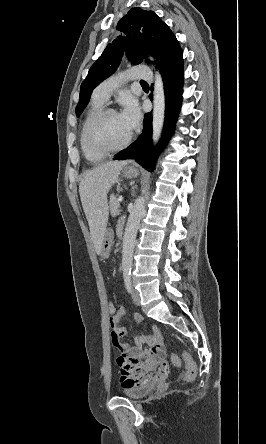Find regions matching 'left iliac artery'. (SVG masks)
<instances>
[{"label":"left iliac artery","mask_w":266,"mask_h":444,"mask_svg":"<svg viewBox=\"0 0 266 444\" xmlns=\"http://www.w3.org/2000/svg\"><path fill=\"white\" fill-rule=\"evenodd\" d=\"M124 282H125V287H126L127 291L130 293L131 288H132V280H131L130 273L124 274Z\"/></svg>","instance_id":"1"}]
</instances>
